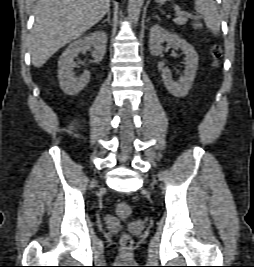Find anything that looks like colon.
<instances>
[{
    "instance_id": "obj_1",
    "label": "colon",
    "mask_w": 254,
    "mask_h": 267,
    "mask_svg": "<svg viewBox=\"0 0 254 267\" xmlns=\"http://www.w3.org/2000/svg\"><path fill=\"white\" fill-rule=\"evenodd\" d=\"M195 26L197 28L202 27V25L199 21L195 22ZM211 52H212V55L214 57L215 63H217L218 59L221 57V53H222L221 47L219 45H214L211 49ZM116 212L120 218L124 219V218H127L130 216L131 208L126 202L122 201V202L118 203V205L116 207ZM120 243L124 248L127 249V248L131 247L133 241H132V238L130 235L124 234L120 239Z\"/></svg>"
}]
</instances>
